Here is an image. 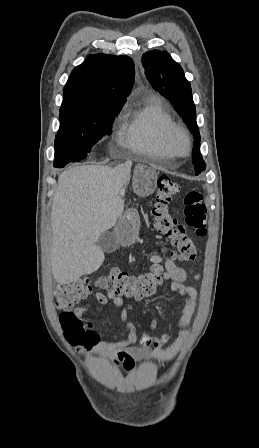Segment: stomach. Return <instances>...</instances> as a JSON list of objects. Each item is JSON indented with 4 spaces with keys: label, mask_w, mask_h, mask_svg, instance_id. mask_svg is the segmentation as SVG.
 Masks as SVG:
<instances>
[{
    "label": "stomach",
    "mask_w": 259,
    "mask_h": 448,
    "mask_svg": "<svg viewBox=\"0 0 259 448\" xmlns=\"http://www.w3.org/2000/svg\"><path fill=\"white\" fill-rule=\"evenodd\" d=\"M141 213L135 206H128L122 218L118 220L114 228L115 236L122 246L135 244L140 230Z\"/></svg>",
    "instance_id": "stomach-1"
}]
</instances>
